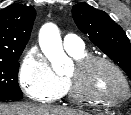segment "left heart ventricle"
<instances>
[{
  "instance_id": "obj_1",
  "label": "left heart ventricle",
  "mask_w": 131,
  "mask_h": 115,
  "mask_svg": "<svg viewBox=\"0 0 131 115\" xmlns=\"http://www.w3.org/2000/svg\"><path fill=\"white\" fill-rule=\"evenodd\" d=\"M73 74V69L68 75ZM85 89L104 98L115 99L124 95V84L119 75L109 66L95 64L85 74Z\"/></svg>"
}]
</instances>
